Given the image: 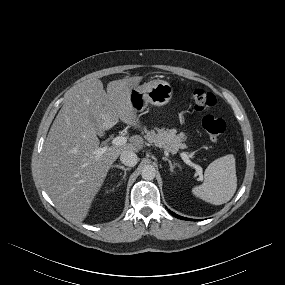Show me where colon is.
<instances>
[{"instance_id": "5ec220e1", "label": "colon", "mask_w": 285, "mask_h": 285, "mask_svg": "<svg viewBox=\"0 0 285 285\" xmlns=\"http://www.w3.org/2000/svg\"><path fill=\"white\" fill-rule=\"evenodd\" d=\"M193 107L196 111L202 112L212 108L216 104V97L213 93L197 88L192 93ZM202 126L211 141H217L226 130V123L223 119L207 114L202 119Z\"/></svg>"}]
</instances>
